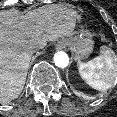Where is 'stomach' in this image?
Listing matches in <instances>:
<instances>
[{
  "label": "stomach",
  "instance_id": "stomach-1",
  "mask_svg": "<svg viewBox=\"0 0 117 117\" xmlns=\"http://www.w3.org/2000/svg\"><path fill=\"white\" fill-rule=\"evenodd\" d=\"M68 44L75 52L77 60L86 57L93 49V41L82 36L69 40Z\"/></svg>",
  "mask_w": 117,
  "mask_h": 117
}]
</instances>
